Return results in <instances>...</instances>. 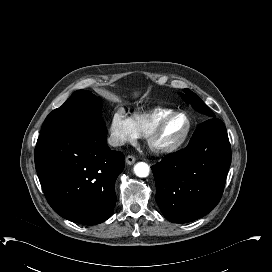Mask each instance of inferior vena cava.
Returning <instances> with one entry per match:
<instances>
[{"label": "inferior vena cava", "instance_id": "1", "mask_svg": "<svg viewBox=\"0 0 272 272\" xmlns=\"http://www.w3.org/2000/svg\"><path fill=\"white\" fill-rule=\"evenodd\" d=\"M108 144L110 146L117 147L124 145L125 141L122 137L115 134H111L110 137L108 138Z\"/></svg>", "mask_w": 272, "mask_h": 272}]
</instances>
